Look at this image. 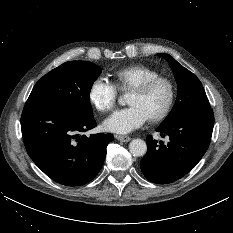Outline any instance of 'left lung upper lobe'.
<instances>
[{
    "instance_id": "5c2ea615",
    "label": "left lung upper lobe",
    "mask_w": 233,
    "mask_h": 233,
    "mask_svg": "<svg viewBox=\"0 0 233 233\" xmlns=\"http://www.w3.org/2000/svg\"><path fill=\"white\" fill-rule=\"evenodd\" d=\"M158 55L169 62L178 86L175 105L161 125L173 123L194 111L210 110L211 107L200 80L169 54Z\"/></svg>"
}]
</instances>
